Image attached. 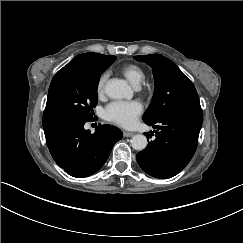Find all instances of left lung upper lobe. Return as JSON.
<instances>
[{"label": "left lung upper lobe", "mask_w": 243, "mask_h": 243, "mask_svg": "<svg viewBox=\"0 0 243 243\" xmlns=\"http://www.w3.org/2000/svg\"><path fill=\"white\" fill-rule=\"evenodd\" d=\"M134 58L149 64L155 79L154 96L143 116L146 124L156 123L171 111L179 108L201 109L193 83L175 63L160 54Z\"/></svg>", "instance_id": "1"}]
</instances>
